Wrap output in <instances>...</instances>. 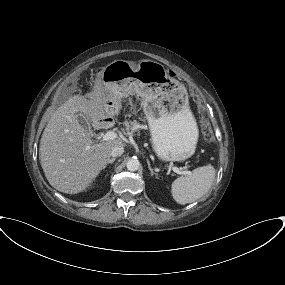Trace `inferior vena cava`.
Wrapping results in <instances>:
<instances>
[{
    "instance_id": "obj_1",
    "label": "inferior vena cava",
    "mask_w": 285,
    "mask_h": 285,
    "mask_svg": "<svg viewBox=\"0 0 285 285\" xmlns=\"http://www.w3.org/2000/svg\"><path fill=\"white\" fill-rule=\"evenodd\" d=\"M123 153H124L123 146H116L112 149L111 156L118 157V156H121Z\"/></svg>"
}]
</instances>
